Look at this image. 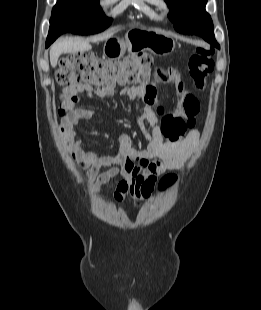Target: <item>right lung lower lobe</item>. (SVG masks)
<instances>
[{
	"instance_id": "98d812e1",
	"label": "right lung lower lobe",
	"mask_w": 261,
	"mask_h": 310,
	"mask_svg": "<svg viewBox=\"0 0 261 310\" xmlns=\"http://www.w3.org/2000/svg\"><path fill=\"white\" fill-rule=\"evenodd\" d=\"M61 34L62 33L56 32L53 35H48V38L46 41V47H48Z\"/></svg>"
}]
</instances>
